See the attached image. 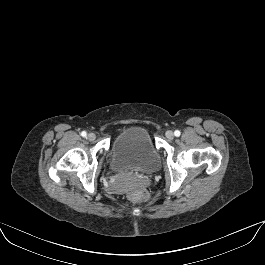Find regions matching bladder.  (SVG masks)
<instances>
[{
	"label": "bladder",
	"instance_id": "1",
	"mask_svg": "<svg viewBox=\"0 0 265 265\" xmlns=\"http://www.w3.org/2000/svg\"><path fill=\"white\" fill-rule=\"evenodd\" d=\"M108 165L114 173L133 169L155 172L161 165V158L152 144L148 131L143 127L131 126L123 129L114 138Z\"/></svg>",
	"mask_w": 265,
	"mask_h": 265
}]
</instances>
